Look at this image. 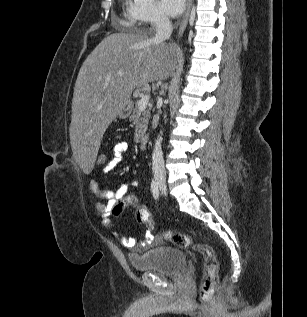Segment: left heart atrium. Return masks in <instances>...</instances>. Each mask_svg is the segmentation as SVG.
Returning <instances> with one entry per match:
<instances>
[{
	"label": "left heart atrium",
	"mask_w": 307,
	"mask_h": 317,
	"mask_svg": "<svg viewBox=\"0 0 307 317\" xmlns=\"http://www.w3.org/2000/svg\"><path fill=\"white\" fill-rule=\"evenodd\" d=\"M185 1L186 0H159V6L164 14L174 17L183 11Z\"/></svg>",
	"instance_id": "1"
}]
</instances>
